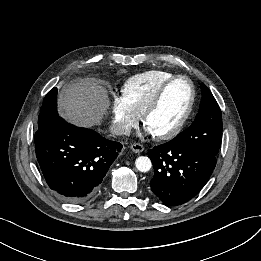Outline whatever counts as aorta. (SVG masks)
<instances>
[{
	"mask_svg": "<svg viewBox=\"0 0 261 261\" xmlns=\"http://www.w3.org/2000/svg\"><path fill=\"white\" fill-rule=\"evenodd\" d=\"M136 168L141 172H147L151 169V160L146 156H140L135 161Z\"/></svg>",
	"mask_w": 261,
	"mask_h": 261,
	"instance_id": "obj_1",
	"label": "aorta"
}]
</instances>
